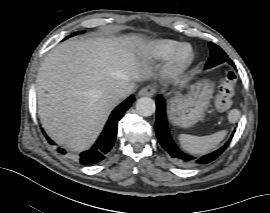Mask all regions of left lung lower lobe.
<instances>
[{"instance_id": "1", "label": "left lung lower lobe", "mask_w": 270, "mask_h": 213, "mask_svg": "<svg viewBox=\"0 0 270 213\" xmlns=\"http://www.w3.org/2000/svg\"><path fill=\"white\" fill-rule=\"evenodd\" d=\"M234 66V65H233ZM156 135L161 144V146L166 150L169 158L177 165L182 167H189L200 164H207L217 157H219L229 145L232 137L219 149L216 151L209 153L207 155H203L201 157H193L184 152H182L177 145L172 140L170 135V131L167 124L166 119V105L165 99L163 96H159L156 100ZM233 136V134H232Z\"/></svg>"}]
</instances>
